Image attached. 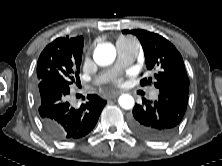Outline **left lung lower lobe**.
<instances>
[{"label":"left lung lower lobe","instance_id":"left-lung-lower-lobe-1","mask_svg":"<svg viewBox=\"0 0 222 166\" xmlns=\"http://www.w3.org/2000/svg\"><path fill=\"white\" fill-rule=\"evenodd\" d=\"M158 89V100L142 99L141 105H135L130 119L133 131L150 141L169 139L177 130L188 103L189 86L167 83Z\"/></svg>","mask_w":222,"mask_h":166}]
</instances>
